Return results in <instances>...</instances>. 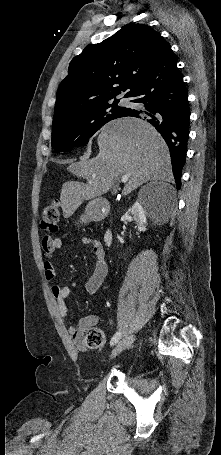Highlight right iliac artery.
I'll use <instances>...</instances> for the list:
<instances>
[{
  "mask_svg": "<svg viewBox=\"0 0 221 455\" xmlns=\"http://www.w3.org/2000/svg\"><path fill=\"white\" fill-rule=\"evenodd\" d=\"M121 335H122L121 332H117V333L113 336V338L111 339V342H110L111 346L115 345V344L120 340Z\"/></svg>",
  "mask_w": 221,
  "mask_h": 455,
  "instance_id": "1",
  "label": "right iliac artery"
}]
</instances>
